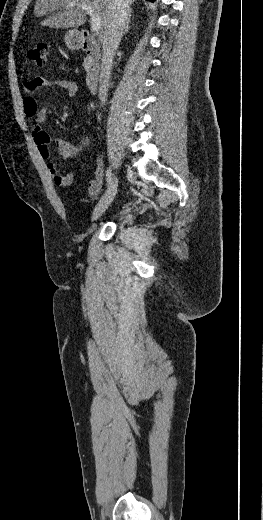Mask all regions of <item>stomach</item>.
I'll return each instance as SVG.
<instances>
[{
  "mask_svg": "<svg viewBox=\"0 0 263 520\" xmlns=\"http://www.w3.org/2000/svg\"><path fill=\"white\" fill-rule=\"evenodd\" d=\"M64 41L70 49H78L82 44L81 34L76 29L69 30L65 34Z\"/></svg>",
  "mask_w": 263,
  "mask_h": 520,
  "instance_id": "obj_1",
  "label": "stomach"
}]
</instances>
